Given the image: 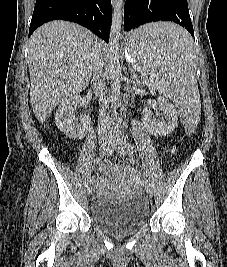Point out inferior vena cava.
<instances>
[{"label":"inferior vena cava","mask_w":227,"mask_h":267,"mask_svg":"<svg viewBox=\"0 0 227 267\" xmlns=\"http://www.w3.org/2000/svg\"><path fill=\"white\" fill-rule=\"evenodd\" d=\"M102 67H103L102 55L99 51H97V54L93 62L92 83L94 89L100 95L98 132L99 135L101 136L108 134L111 129V118L108 112V102L104 97V88L101 81Z\"/></svg>","instance_id":"602c4592"}]
</instances>
